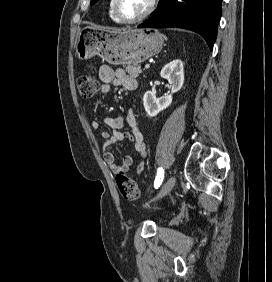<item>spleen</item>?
<instances>
[{"label":"spleen","mask_w":272,"mask_h":282,"mask_svg":"<svg viewBox=\"0 0 272 282\" xmlns=\"http://www.w3.org/2000/svg\"><path fill=\"white\" fill-rule=\"evenodd\" d=\"M165 39H167V37L166 36H164V35H162Z\"/></svg>","instance_id":"spleen-1"}]
</instances>
